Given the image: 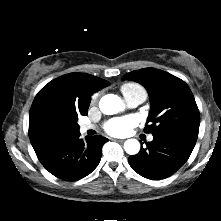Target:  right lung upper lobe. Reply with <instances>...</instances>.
<instances>
[{"instance_id":"right-lung-upper-lobe-1","label":"right lung upper lobe","mask_w":221,"mask_h":221,"mask_svg":"<svg viewBox=\"0 0 221 221\" xmlns=\"http://www.w3.org/2000/svg\"><path fill=\"white\" fill-rule=\"evenodd\" d=\"M109 82L85 73L60 76L36 95L29 113V137L38 159L79 132L78 115H87L91 95Z\"/></svg>"}]
</instances>
